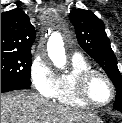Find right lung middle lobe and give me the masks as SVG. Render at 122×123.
I'll return each instance as SVG.
<instances>
[{
    "label": "right lung middle lobe",
    "instance_id": "obj_1",
    "mask_svg": "<svg viewBox=\"0 0 122 123\" xmlns=\"http://www.w3.org/2000/svg\"><path fill=\"white\" fill-rule=\"evenodd\" d=\"M31 54L1 52V79L31 85Z\"/></svg>",
    "mask_w": 122,
    "mask_h": 123
}]
</instances>
